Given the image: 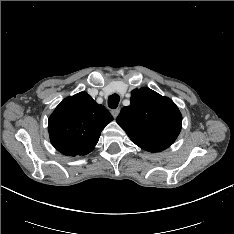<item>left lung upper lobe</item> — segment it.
<instances>
[{
    "mask_svg": "<svg viewBox=\"0 0 234 234\" xmlns=\"http://www.w3.org/2000/svg\"><path fill=\"white\" fill-rule=\"evenodd\" d=\"M116 121L136 145L160 152L176 140L182 116L171 99L140 88L132 91L131 104L121 110Z\"/></svg>",
    "mask_w": 234,
    "mask_h": 234,
    "instance_id": "5c2ea615",
    "label": "left lung upper lobe"
}]
</instances>
